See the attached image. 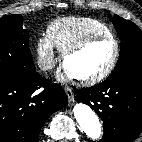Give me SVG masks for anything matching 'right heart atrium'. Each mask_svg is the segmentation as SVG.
<instances>
[{
	"mask_svg": "<svg viewBox=\"0 0 142 142\" xmlns=\"http://www.w3.org/2000/svg\"><path fill=\"white\" fill-rule=\"evenodd\" d=\"M35 50L41 69H52L56 63V52L50 39L47 36H40L36 41Z\"/></svg>",
	"mask_w": 142,
	"mask_h": 142,
	"instance_id": "1",
	"label": "right heart atrium"
}]
</instances>
